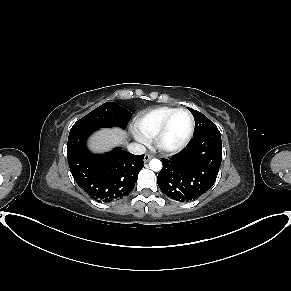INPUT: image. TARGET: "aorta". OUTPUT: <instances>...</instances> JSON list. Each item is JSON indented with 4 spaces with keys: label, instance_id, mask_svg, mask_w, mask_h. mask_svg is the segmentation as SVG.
<instances>
[{
    "label": "aorta",
    "instance_id": "aorta-1",
    "mask_svg": "<svg viewBox=\"0 0 291 291\" xmlns=\"http://www.w3.org/2000/svg\"><path fill=\"white\" fill-rule=\"evenodd\" d=\"M149 166H150V169L155 171V172L160 171L162 169V163L158 159L150 160Z\"/></svg>",
    "mask_w": 291,
    "mask_h": 291
}]
</instances>
